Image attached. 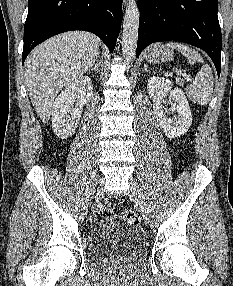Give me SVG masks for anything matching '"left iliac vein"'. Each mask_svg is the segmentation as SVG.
<instances>
[{"label":"left iliac vein","mask_w":233,"mask_h":286,"mask_svg":"<svg viewBox=\"0 0 233 286\" xmlns=\"http://www.w3.org/2000/svg\"><path fill=\"white\" fill-rule=\"evenodd\" d=\"M130 189H129V195L132 197L137 206L140 209V212L146 222H149L150 216H149V208L147 205V202L142 194L141 188L136 180L133 178L129 179Z\"/></svg>","instance_id":"obj_1"}]
</instances>
